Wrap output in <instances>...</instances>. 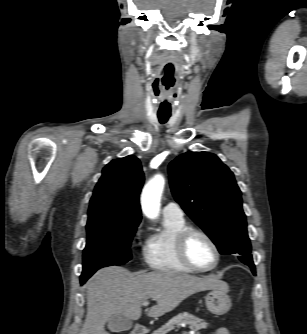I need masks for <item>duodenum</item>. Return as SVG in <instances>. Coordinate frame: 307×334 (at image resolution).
Listing matches in <instances>:
<instances>
[{
  "label": "duodenum",
  "instance_id": "410a0bca",
  "mask_svg": "<svg viewBox=\"0 0 307 334\" xmlns=\"http://www.w3.org/2000/svg\"><path fill=\"white\" fill-rule=\"evenodd\" d=\"M132 334H148V331L145 327H137L133 330Z\"/></svg>",
  "mask_w": 307,
  "mask_h": 334
}]
</instances>
